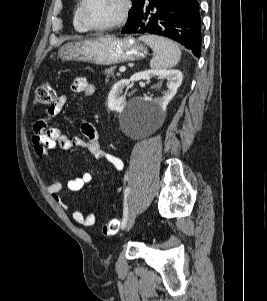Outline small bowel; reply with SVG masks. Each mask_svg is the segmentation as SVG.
Segmentation results:
<instances>
[{
	"label": "small bowel",
	"mask_w": 267,
	"mask_h": 301,
	"mask_svg": "<svg viewBox=\"0 0 267 301\" xmlns=\"http://www.w3.org/2000/svg\"><path fill=\"white\" fill-rule=\"evenodd\" d=\"M70 89L73 93L82 94L84 97H90L95 93V86L85 77H75L71 83ZM68 101V96L62 94L56 98L54 103L48 108L46 114L39 118L33 126L32 144L35 157L40 161H45L51 151L58 149L69 150L73 147H85L94 158L105 160L117 171L124 168L123 161L103 149L99 133L96 127L89 122H82L80 130L82 137H70L61 132L57 127L51 125V120L62 110ZM92 181V175L83 171L78 176L71 178L67 187L71 191H79ZM62 184L55 178H52L47 185V191L53 196L54 200L64 209H68L67 204L60 196ZM73 220L85 227H91L95 224V216L92 213L83 214L79 210L72 213Z\"/></svg>",
	"instance_id": "1"
}]
</instances>
